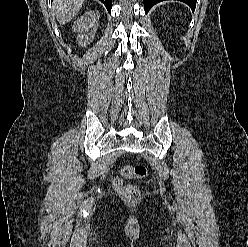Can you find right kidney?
I'll return each instance as SVG.
<instances>
[{"mask_svg": "<svg viewBox=\"0 0 248 247\" xmlns=\"http://www.w3.org/2000/svg\"><path fill=\"white\" fill-rule=\"evenodd\" d=\"M99 18V11L93 10L86 12L74 22L73 31L78 33V45L85 47L93 41L98 28Z\"/></svg>", "mask_w": 248, "mask_h": 247, "instance_id": "1", "label": "right kidney"}]
</instances>
